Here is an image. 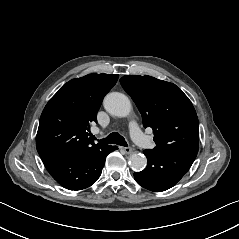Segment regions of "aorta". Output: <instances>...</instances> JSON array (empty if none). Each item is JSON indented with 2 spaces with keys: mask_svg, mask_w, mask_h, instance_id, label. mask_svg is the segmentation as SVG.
<instances>
[{
  "mask_svg": "<svg viewBox=\"0 0 239 239\" xmlns=\"http://www.w3.org/2000/svg\"><path fill=\"white\" fill-rule=\"evenodd\" d=\"M105 110L111 115L117 117H127L131 111V103L129 98L123 93H108L103 101ZM130 166L135 171L142 170L147 165L146 157L133 153L129 158Z\"/></svg>",
  "mask_w": 239,
  "mask_h": 239,
  "instance_id": "1",
  "label": "aorta"
}]
</instances>
